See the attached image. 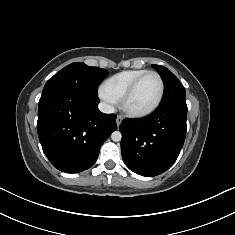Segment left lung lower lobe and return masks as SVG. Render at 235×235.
I'll use <instances>...</instances> for the list:
<instances>
[{"label":"left lung lower lobe","mask_w":235,"mask_h":235,"mask_svg":"<svg viewBox=\"0 0 235 235\" xmlns=\"http://www.w3.org/2000/svg\"><path fill=\"white\" fill-rule=\"evenodd\" d=\"M186 99L163 102L150 115L124 119L121 153L133 172L152 177L165 172L176 161L186 136Z\"/></svg>","instance_id":"left-lung-lower-lobe-1"}]
</instances>
